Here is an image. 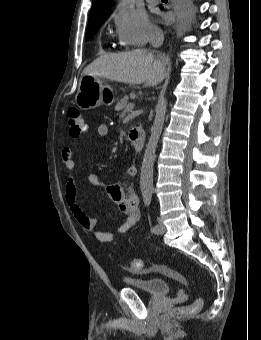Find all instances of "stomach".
I'll list each match as a JSON object with an SVG mask.
<instances>
[{"label": "stomach", "mask_w": 261, "mask_h": 340, "mask_svg": "<svg viewBox=\"0 0 261 340\" xmlns=\"http://www.w3.org/2000/svg\"><path fill=\"white\" fill-rule=\"evenodd\" d=\"M116 101L113 88L100 77L83 75L80 79L75 103L83 110L101 105L110 106Z\"/></svg>", "instance_id": "1"}]
</instances>
